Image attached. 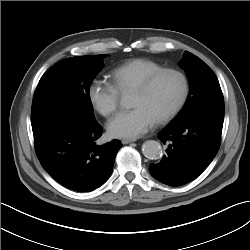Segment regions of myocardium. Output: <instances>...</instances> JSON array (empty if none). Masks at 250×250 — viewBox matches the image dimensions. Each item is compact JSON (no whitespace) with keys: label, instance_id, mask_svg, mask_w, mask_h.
<instances>
[{"label":"myocardium","instance_id":"f54148a6","mask_svg":"<svg viewBox=\"0 0 250 250\" xmlns=\"http://www.w3.org/2000/svg\"><path fill=\"white\" fill-rule=\"evenodd\" d=\"M167 74H172V75L177 76L181 80L182 89H181V93H180L177 101L172 106V108L169 111H167L165 114H163L159 119L156 120L157 124H165V123H167L173 117H175L179 113V111L182 109V107L184 106V104H185V102L187 100L188 94H189V80H188L187 75L183 71H181L179 69L162 68V69L148 75L133 90L134 92L144 94L151 88V86L155 83V81L157 79H159L161 76L167 75Z\"/></svg>","mask_w":250,"mask_h":250}]
</instances>
